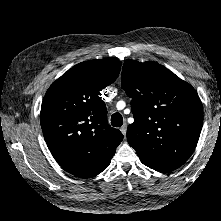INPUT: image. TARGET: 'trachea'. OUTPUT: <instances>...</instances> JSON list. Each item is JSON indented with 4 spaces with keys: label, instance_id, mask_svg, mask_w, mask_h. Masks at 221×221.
Listing matches in <instances>:
<instances>
[{
    "label": "trachea",
    "instance_id": "3493384b",
    "mask_svg": "<svg viewBox=\"0 0 221 221\" xmlns=\"http://www.w3.org/2000/svg\"><path fill=\"white\" fill-rule=\"evenodd\" d=\"M123 124V118L122 115L120 113H114L111 116V125L113 127H121Z\"/></svg>",
    "mask_w": 221,
    "mask_h": 221
}]
</instances>
